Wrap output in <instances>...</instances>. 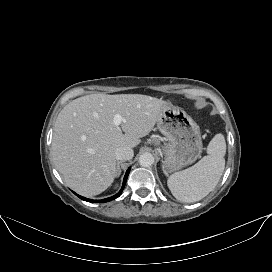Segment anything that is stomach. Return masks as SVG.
I'll list each match as a JSON object with an SVG mask.
<instances>
[{"instance_id":"stomach-1","label":"stomach","mask_w":272,"mask_h":272,"mask_svg":"<svg viewBox=\"0 0 272 272\" xmlns=\"http://www.w3.org/2000/svg\"><path fill=\"white\" fill-rule=\"evenodd\" d=\"M156 123L167 140L162 147L166 171L176 172L200 157L203 150L200 128L184 110L166 103Z\"/></svg>"}]
</instances>
